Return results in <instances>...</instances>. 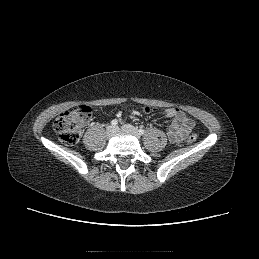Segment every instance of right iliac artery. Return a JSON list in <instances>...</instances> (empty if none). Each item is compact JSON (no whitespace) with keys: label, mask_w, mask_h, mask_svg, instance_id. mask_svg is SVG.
I'll list each match as a JSON object with an SVG mask.
<instances>
[{"label":"right iliac artery","mask_w":259,"mask_h":259,"mask_svg":"<svg viewBox=\"0 0 259 259\" xmlns=\"http://www.w3.org/2000/svg\"><path fill=\"white\" fill-rule=\"evenodd\" d=\"M117 124H118L117 119H113V120L111 121V125L116 126Z\"/></svg>","instance_id":"obj_1"}]
</instances>
